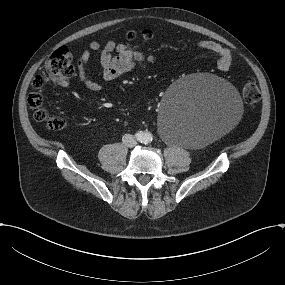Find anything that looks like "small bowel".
I'll list each match as a JSON object with an SVG mask.
<instances>
[{
  "instance_id": "obj_1",
  "label": "small bowel",
  "mask_w": 285,
  "mask_h": 285,
  "mask_svg": "<svg viewBox=\"0 0 285 285\" xmlns=\"http://www.w3.org/2000/svg\"><path fill=\"white\" fill-rule=\"evenodd\" d=\"M198 47L211 51L218 56L217 66L221 71H228L233 62V56L228 48L212 40H201L197 43ZM92 53L99 54L100 65L102 68V77L105 82H111L128 73L129 71L152 64L155 57L146 55L135 50L128 43H116L114 40H108L105 45L97 41H92L89 48L85 49L77 58L78 78L80 82L90 91H101L104 85L95 81L89 72V60ZM67 81L61 85H66Z\"/></svg>"
}]
</instances>
